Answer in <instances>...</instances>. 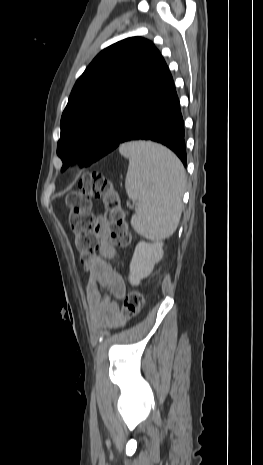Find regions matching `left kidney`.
Returning <instances> with one entry per match:
<instances>
[{
    "label": "left kidney",
    "instance_id": "5707ae66",
    "mask_svg": "<svg viewBox=\"0 0 263 465\" xmlns=\"http://www.w3.org/2000/svg\"><path fill=\"white\" fill-rule=\"evenodd\" d=\"M163 243H148L140 241L134 251L130 262L129 281L131 285H139L141 279L149 276L154 265L163 257Z\"/></svg>",
    "mask_w": 263,
    "mask_h": 465
}]
</instances>
